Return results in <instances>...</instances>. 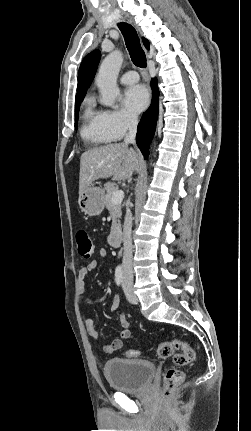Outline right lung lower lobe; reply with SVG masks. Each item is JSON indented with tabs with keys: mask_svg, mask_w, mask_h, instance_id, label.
<instances>
[{
	"mask_svg": "<svg viewBox=\"0 0 251 431\" xmlns=\"http://www.w3.org/2000/svg\"><path fill=\"white\" fill-rule=\"evenodd\" d=\"M153 100L150 108L143 114L141 121L137 127L136 142L142 154L147 157L149 154V144L152 141L155 133L156 121L158 116V87L156 79L152 82Z\"/></svg>",
	"mask_w": 251,
	"mask_h": 431,
	"instance_id": "1",
	"label": "right lung lower lobe"
}]
</instances>
